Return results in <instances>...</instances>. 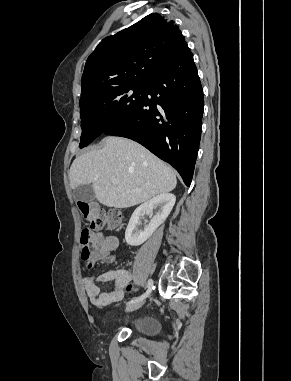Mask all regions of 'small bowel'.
Returning <instances> with one entry per match:
<instances>
[{"mask_svg": "<svg viewBox=\"0 0 291 381\" xmlns=\"http://www.w3.org/2000/svg\"><path fill=\"white\" fill-rule=\"evenodd\" d=\"M91 242L95 248V257H104L110 250L117 246V239L113 236H107L103 233H93ZM132 275L125 269H110L100 273L96 278L85 277L83 287L96 306H104L118 302L124 297V288L131 281ZM113 282V287L107 292H100L96 282Z\"/></svg>", "mask_w": 291, "mask_h": 381, "instance_id": "1", "label": "small bowel"}]
</instances>
